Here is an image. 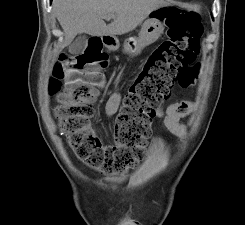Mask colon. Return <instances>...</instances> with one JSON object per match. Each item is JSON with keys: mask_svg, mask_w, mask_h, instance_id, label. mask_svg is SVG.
<instances>
[{"mask_svg": "<svg viewBox=\"0 0 245 225\" xmlns=\"http://www.w3.org/2000/svg\"><path fill=\"white\" fill-rule=\"evenodd\" d=\"M162 17L168 37L148 56L130 84L116 117L113 146L101 143L90 127L99 92L87 81L99 79L101 74L83 69L109 66V56L98 38L82 39L79 48L85 52L63 54L54 66L50 91L57 94L54 116L60 132L76 158L94 170L122 175L135 165L144 155L158 106L170 98L175 85L190 87L196 80L192 66L202 34L199 15L170 7L163 9ZM191 111V101L176 103L180 117Z\"/></svg>", "mask_w": 245, "mask_h": 225, "instance_id": "obj_1", "label": "colon"}]
</instances>
